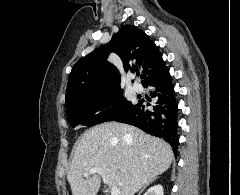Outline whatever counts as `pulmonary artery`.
I'll return each mask as SVG.
<instances>
[{
  "mask_svg": "<svg viewBox=\"0 0 240 195\" xmlns=\"http://www.w3.org/2000/svg\"><path fill=\"white\" fill-rule=\"evenodd\" d=\"M133 90L137 93H142L144 91V88L140 83H135L133 85Z\"/></svg>",
  "mask_w": 240,
  "mask_h": 195,
  "instance_id": "1",
  "label": "pulmonary artery"
}]
</instances>
